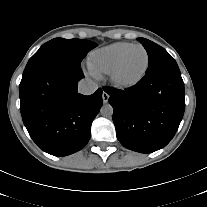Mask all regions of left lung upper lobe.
Returning <instances> with one entry per match:
<instances>
[{
  "label": "left lung upper lobe",
  "mask_w": 207,
  "mask_h": 207,
  "mask_svg": "<svg viewBox=\"0 0 207 207\" xmlns=\"http://www.w3.org/2000/svg\"><path fill=\"white\" fill-rule=\"evenodd\" d=\"M138 41L144 46L149 56L146 74L161 69L166 65L176 64L174 58L161 46L145 38H138Z\"/></svg>",
  "instance_id": "1"
}]
</instances>
